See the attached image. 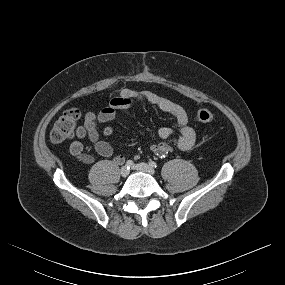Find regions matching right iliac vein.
Here are the masks:
<instances>
[{
    "instance_id": "63e3f726",
    "label": "right iliac vein",
    "mask_w": 285,
    "mask_h": 285,
    "mask_svg": "<svg viewBox=\"0 0 285 285\" xmlns=\"http://www.w3.org/2000/svg\"><path fill=\"white\" fill-rule=\"evenodd\" d=\"M120 174L122 177H127L129 175V170L125 167H123L121 170H120Z\"/></svg>"
}]
</instances>
